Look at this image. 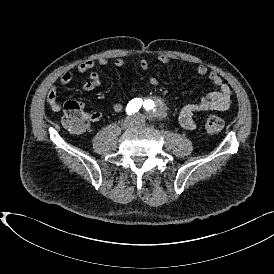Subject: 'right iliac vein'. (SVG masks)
<instances>
[{"instance_id": "1", "label": "right iliac vein", "mask_w": 274, "mask_h": 274, "mask_svg": "<svg viewBox=\"0 0 274 274\" xmlns=\"http://www.w3.org/2000/svg\"><path fill=\"white\" fill-rule=\"evenodd\" d=\"M136 125V117H127L122 123L123 129H131Z\"/></svg>"}]
</instances>
